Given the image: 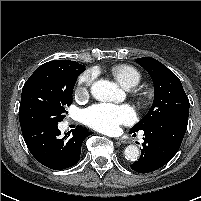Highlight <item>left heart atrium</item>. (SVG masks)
Returning <instances> with one entry per match:
<instances>
[{
    "label": "left heart atrium",
    "mask_w": 201,
    "mask_h": 201,
    "mask_svg": "<svg viewBox=\"0 0 201 201\" xmlns=\"http://www.w3.org/2000/svg\"><path fill=\"white\" fill-rule=\"evenodd\" d=\"M135 117V111L131 106L109 103L96 104L83 112L84 122L104 133L116 132L120 125L132 123Z\"/></svg>",
    "instance_id": "39dd6f15"
}]
</instances>
